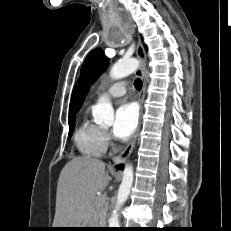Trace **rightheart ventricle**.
Listing matches in <instances>:
<instances>
[{"instance_id": "e07e8e85", "label": "right heart ventricle", "mask_w": 231, "mask_h": 231, "mask_svg": "<svg viewBox=\"0 0 231 231\" xmlns=\"http://www.w3.org/2000/svg\"><path fill=\"white\" fill-rule=\"evenodd\" d=\"M77 150L86 157L102 156L107 148L104 131L85 115L74 134Z\"/></svg>"}]
</instances>
